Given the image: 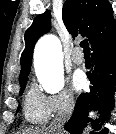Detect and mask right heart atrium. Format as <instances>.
I'll list each match as a JSON object with an SVG mask.
<instances>
[{
  "instance_id": "obj_1",
  "label": "right heart atrium",
  "mask_w": 116,
  "mask_h": 134,
  "mask_svg": "<svg viewBox=\"0 0 116 134\" xmlns=\"http://www.w3.org/2000/svg\"><path fill=\"white\" fill-rule=\"evenodd\" d=\"M46 105L50 116L70 113L75 105L73 94L64 89L57 94L46 97Z\"/></svg>"
}]
</instances>
